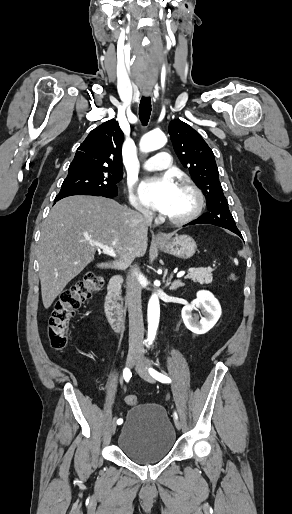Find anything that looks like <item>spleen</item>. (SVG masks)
<instances>
[{
    "mask_svg": "<svg viewBox=\"0 0 292 514\" xmlns=\"http://www.w3.org/2000/svg\"><path fill=\"white\" fill-rule=\"evenodd\" d=\"M235 266H238V260H234Z\"/></svg>",
    "mask_w": 292,
    "mask_h": 514,
    "instance_id": "obj_1",
    "label": "spleen"
}]
</instances>
